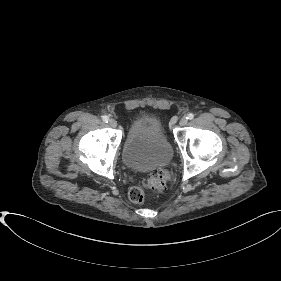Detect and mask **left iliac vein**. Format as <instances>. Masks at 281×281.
Segmentation results:
<instances>
[{
    "label": "left iliac vein",
    "instance_id": "obj_1",
    "mask_svg": "<svg viewBox=\"0 0 281 281\" xmlns=\"http://www.w3.org/2000/svg\"><path fill=\"white\" fill-rule=\"evenodd\" d=\"M188 122V119L186 117H182L179 121L180 126H185Z\"/></svg>",
    "mask_w": 281,
    "mask_h": 281
}]
</instances>
